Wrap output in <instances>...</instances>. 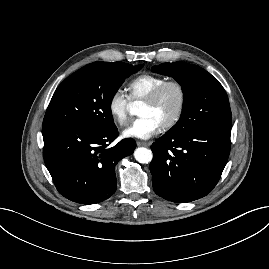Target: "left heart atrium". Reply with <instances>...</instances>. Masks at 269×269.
Returning a JSON list of instances; mask_svg holds the SVG:
<instances>
[{
  "label": "left heart atrium",
  "instance_id": "1",
  "mask_svg": "<svg viewBox=\"0 0 269 269\" xmlns=\"http://www.w3.org/2000/svg\"><path fill=\"white\" fill-rule=\"evenodd\" d=\"M160 123L151 116H141L131 122L123 131L126 138L149 139L161 129Z\"/></svg>",
  "mask_w": 269,
  "mask_h": 269
}]
</instances>
